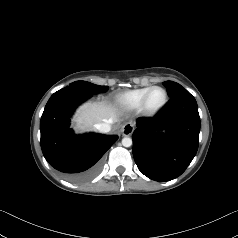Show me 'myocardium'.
Returning a JSON list of instances; mask_svg holds the SVG:
<instances>
[{
    "mask_svg": "<svg viewBox=\"0 0 238 238\" xmlns=\"http://www.w3.org/2000/svg\"><path fill=\"white\" fill-rule=\"evenodd\" d=\"M162 90L163 93H164V101L163 103L156 107V108H150L149 105H148V100H149V97L151 95V93L154 91V90ZM168 103V93L166 91L165 88L161 87V86H152L147 92L146 94L144 95L143 99H142V102H141V105H140V111L146 115V116H155L157 115L158 113H160L164 107L167 105Z\"/></svg>",
    "mask_w": 238,
    "mask_h": 238,
    "instance_id": "myocardium-1",
    "label": "myocardium"
}]
</instances>
